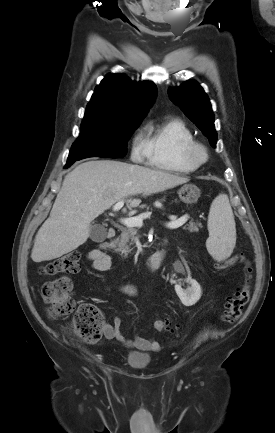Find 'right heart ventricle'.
<instances>
[{
    "label": "right heart ventricle",
    "instance_id": "right-heart-ventricle-1",
    "mask_svg": "<svg viewBox=\"0 0 275 433\" xmlns=\"http://www.w3.org/2000/svg\"><path fill=\"white\" fill-rule=\"evenodd\" d=\"M195 142L191 129L179 118H167L147 127L148 164L166 171L192 173L198 166L187 161L184 151Z\"/></svg>",
    "mask_w": 275,
    "mask_h": 433
}]
</instances>
